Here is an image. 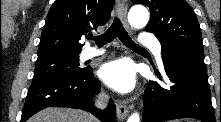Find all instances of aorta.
<instances>
[{
    "mask_svg": "<svg viewBox=\"0 0 221 122\" xmlns=\"http://www.w3.org/2000/svg\"><path fill=\"white\" fill-rule=\"evenodd\" d=\"M130 25L136 29L145 27L149 21V12L143 5L133 6L128 13ZM127 122H140V116L137 112L133 113Z\"/></svg>",
    "mask_w": 221,
    "mask_h": 122,
    "instance_id": "aorta-1",
    "label": "aorta"
}]
</instances>
